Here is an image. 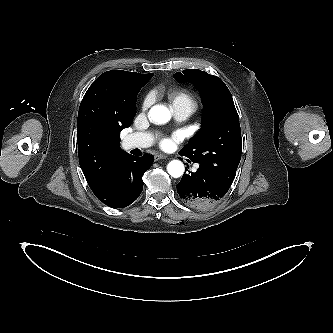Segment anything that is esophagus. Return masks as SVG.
Segmentation results:
<instances>
[{"label": "esophagus", "instance_id": "34e87169", "mask_svg": "<svg viewBox=\"0 0 333 333\" xmlns=\"http://www.w3.org/2000/svg\"><path fill=\"white\" fill-rule=\"evenodd\" d=\"M166 158V156H164V155H162V154H156L155 156H154V160L155 161H159V160H161V159H165Z\"/></svg>", "mask_w": 333, "mask_h": 333}]
</instances>
